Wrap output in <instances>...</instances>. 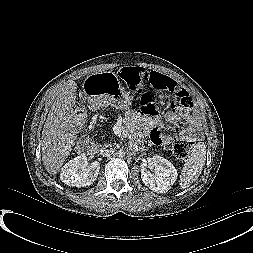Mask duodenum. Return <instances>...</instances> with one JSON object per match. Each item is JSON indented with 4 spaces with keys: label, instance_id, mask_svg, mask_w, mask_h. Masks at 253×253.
<instances>
[{
    "label": "duodenum",
    "instance_id": "duodenum-1",
    "mask_svg": "<svg viewBox=\"0 0 253 253\" xmlns=\"http://www.w3.org/2000/svg\"><path fill=\"white\" fill-rule=\"evenodd\" d=\"M78 151L81 154L91 155L97 152V147L87 138L78 143Z\"/></svg>",
    "mask_w": 253,
    "mask_h": 253
}]
</instances>
